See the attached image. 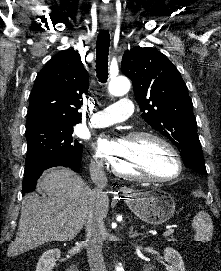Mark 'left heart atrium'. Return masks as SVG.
I'll return each instance as SVG.
<instances>
[{"label": "left heart atrium", "instance_id": "obj_1", "mask_svg": "<svg viewBox=\"0 0 221 271\" xmlns=\"http://www.w3.org/2000/svg\"><path fill=\"white\" fill-rule=\"evenodd\" d=\"M120 142H101L98 145L102 157H137V152H131L130 148H119Z\"/></svg>", "mask_w": 221, "mask_h": 271}]
</instances>
